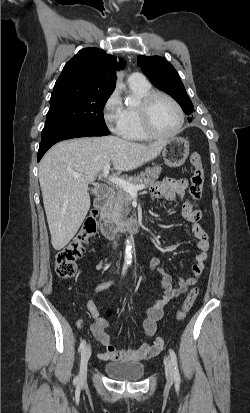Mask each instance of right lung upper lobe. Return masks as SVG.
I'll list each match as a JSON object with an SVG mask.
<instances>
[{"label":"right lung upper lobe","mask_w":250,"mask_h":413,"mask_svg":"<svg viewBox=\"0 0 250 413\" xmlns=\"http://www.w3.org/2000/svg\"><path fill=\"white\" fill-rule=\"evenodd\" d=\"M125 66L122 58L116 59L99 48L80 50L64 66L54 89L74 85L84 89L113 92L115 71Z\"/></svg>","instance_id":"right-lung-upper-lobe-1"}]
</instances>
